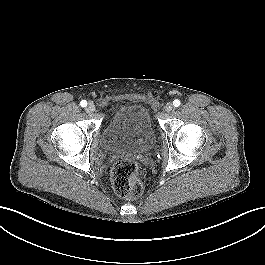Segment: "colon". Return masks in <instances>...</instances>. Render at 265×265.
Here are the masks:
<instances>
[{
	"instance_id": "obj_1",
	"label": "colon",
	"mask_w": 265,
	"mask_h": 265,
	"mask_svg": "<svg viewBox=\"0 0 265 265\" xmlns=\"http://www.w3.org/2000/svg\"><path fill=\"white\" fill-rule=\"evenodd\" d=\"M114 192L121 198L134 199L143 192L138 164L130 158L118 159L111 168Z\"/></svg>"
}]
</instances>
